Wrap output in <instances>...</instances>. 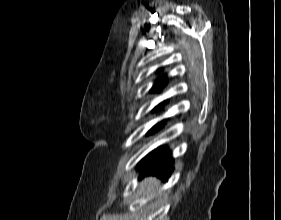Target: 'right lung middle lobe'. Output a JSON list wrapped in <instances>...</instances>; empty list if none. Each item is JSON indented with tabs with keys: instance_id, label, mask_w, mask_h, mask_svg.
Returning a JSON list of instances; mask_svg holds the SVG:
<instances>
[{
	"instance_id": "obj_1",
	"label": "right lung middle lobe",
	"mask_w": 281,
	"mask_h": 220,
	"mask_svg": "<svg viewBox=\"0 0 281 220\" xmlns=\"http://www.w3.org/2000/svg\"><path fill=\"white\" fill-rule=\"evenodd\" d=\"M163 123L164 121L162 122H159L158 124H156L150 131H149V134H153L155 131L159 130L160 128L163 127Z\"/></svg>"
}]
</instances>
